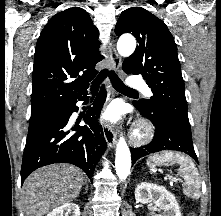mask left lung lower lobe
I'll list each match as a JSON object with an SVG mask.
<instances>
[{
  "label": "left lung lower lobe",
  "mask_w": 221,
  "mask_h": 216,
  "mask_svg": "<svg viewBox=\"0 0 221 216\" xmlns=\"http://www.w3.org/2000/svg\"><path fill=\"white\" fill-rule=\"evenodd\" d=\"M135 107L140 113L150 119L155 126V135L151 143L141 148H131L132 164L139 158L162 150H175L188 154L196 162L197 156L192 143V134L189 126H186L173 118L149 113L140 108L137 103Z\"/></svg>",
  "instance_id": "obj_1"
}]
</instances>
